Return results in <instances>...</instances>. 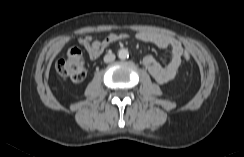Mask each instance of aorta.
<instances>
[{"label":"aorta","instance_id":"obj_1","mask_svg":"<svg viewBox=\"0 0 244 157\" xmlns=\"http://www.w3.org/2000/svg\"><path fill=\"white\" fill-rule=\"evenodd\" d=\"M118 57L122 60L126 59L129 57V52L127 49H120L118 51Z\"/></svg>","mask_w":244,"mask_h":157}]
</instances>
